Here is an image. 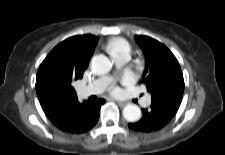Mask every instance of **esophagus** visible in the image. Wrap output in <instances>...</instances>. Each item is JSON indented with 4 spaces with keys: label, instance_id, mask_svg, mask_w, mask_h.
<instances>
[{
    "label": "esophagus",
    "instance_id": "obj_1",
    "mask_svg": "<svg viewBox=\"0 0 225 155\" xmlns=\"http://www.w3.org/2000/svg\"><path fill=\"white\" fill-rule=\"evenodd\" d=\"M116 101V103L119 105V106H121V107H123V106H125L127 103L126 102H124V101H120V100H115Z\"/></svg>",
    "mask_w": 225,
    "mask_h": 155
}]
</instances>
